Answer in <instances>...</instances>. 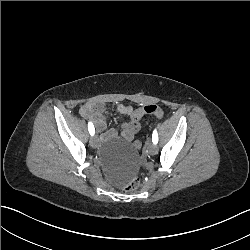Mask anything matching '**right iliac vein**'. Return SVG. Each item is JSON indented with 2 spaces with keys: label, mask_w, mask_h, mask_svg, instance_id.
<instances>
[{
  "label": "right iliac vein",
  "mask_w": 250,
  "mask_h": 250,
  "mask_svg": "<svg viewBox=\"0 0 250 250\" xmlns=\"http://www.w3.org/2000/svg\"><path fill=\"white\" fill-rule=\"evenodd\" d=\"M98 144H99L98 137L97 136L92 137L90 140L91 147L95 149L98 147Z\"/></svg>",
  "instance_id": "1"
}]
</instances>
